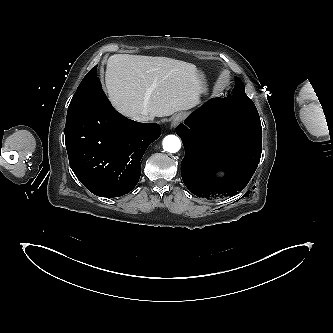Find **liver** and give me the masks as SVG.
I'll return each mask as SVG.
<instances>
[{"label": "liver", "instance_id": "1", "mask_svg": "<svg viewBox=\"0 0 333 333\" xmlns=\"http://www.w3.org/2000/svg\"><path fill=\"white\" fill-rule=\"evenodd\" d=\"M105 84L113 106L129 118L146 114L153 119L191 109L205 92L195 65L167 57L112 55Z\"/></svg>", "mask_w": 333, "mask_h": 333}]
</instances>
